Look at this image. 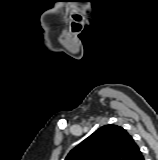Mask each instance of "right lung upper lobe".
Returning a JSON list of instances; mask_svg holds the SVG:
<instances>
[{
  "mask_svg": "<svg viewBox=\"0 0 158 160\" xmlns=\"http://www.w3.org/2000/svg\"><path fill=\"white\" fill-rule=\"evenodd\" d=\"M141 151L128 132L105 125L70 151L65 160H136Z\"/></svg>",
  "mask_w": 158,
  "mask_h": 160,
  "instance_id": "obj_1",
  "label": "right lung upper lobe"
}]
</instances>
